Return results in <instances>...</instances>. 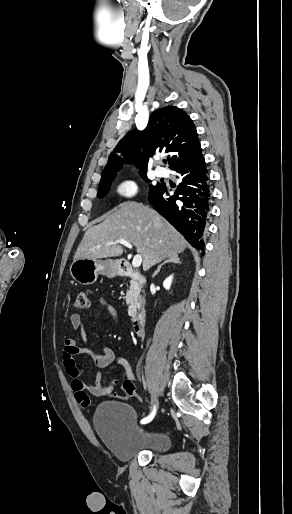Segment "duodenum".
I'll return each instance as SVG.
<instances>
[{"label":"duodenum","instance_id":"duodenum-1","mask_svg":"<svg viewBox=\"0 0 292 514\" xmlns=\"http://www.w3.org/2000/svg\"><path fill=\"white\" fill-rule=\"evenodd\" d=\"M121 274L125 277L131 278L134 281V283L140 288H143L146 285V278L131 265H127L122 270ZM145 320L146 312L144 308H141L138 314H136L132 319L133 332H135L136 334L142 332V330L144 329Z\"/></svg>","mask_w":292,"mask_h":514}]
</instances>
